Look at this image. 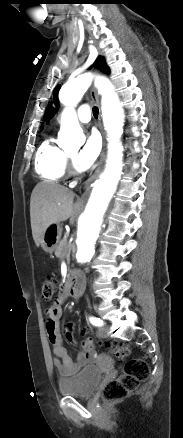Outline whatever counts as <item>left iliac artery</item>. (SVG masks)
Returning <instances> with one entry per match:
<instances>
[{
  "instance_id": "1",
  "label": "left iliac artery",
  "mask_w": 183,
  "mask_h": 438,
  "mask_svg": "<svg viewBox=\"0 0 183 438\" xmlns=\"http://www.w3.org/2000/svg\"><path fill=\"white\" fill-rule=\"evenodd\" d=\"M89 320L94 326H102L104 324L100 318L90 317Z\"/></svg>"
}]
</instances>
